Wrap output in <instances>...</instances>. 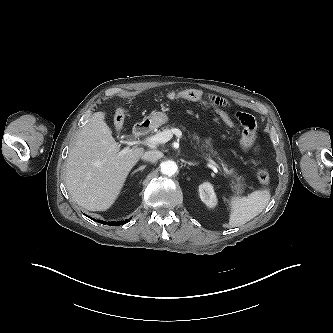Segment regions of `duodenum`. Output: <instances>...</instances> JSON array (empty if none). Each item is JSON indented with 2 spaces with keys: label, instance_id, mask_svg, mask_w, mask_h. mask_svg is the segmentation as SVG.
I'll return each mask as SVG.
<instances>
[{
  "label": "duodenum",
  "instance_id": "410a0bca",
  "mask_svg": "<svg viewBox=\"0 0 333 333\" xmlns=\"http://www.w3.org/2000/svg\"><path fill=\"white\" fill-rule=\"evenodd\" d=\"M149 130V125L147 123H139L137 124L134 129H133V133L136 136H142L144 134H146Z\"/></svg>",
  "mask_w": 333,
  "mask_h": 333
}]
</instances>
